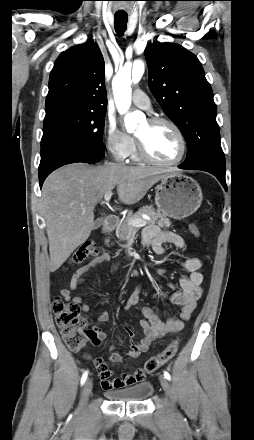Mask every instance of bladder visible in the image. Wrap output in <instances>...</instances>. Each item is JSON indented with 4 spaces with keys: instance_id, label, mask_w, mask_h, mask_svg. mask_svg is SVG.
Masks as SVG:
<instances>
[{
    "instance_id": "obj_1",
    "label": "bladder",
    "mask_w": 254,
    "mask_h": 440,
    "mask_svg": "<svg viewBox=\"0 0 254 440\" xmlns=\"http://www.w3.org/2000/svg\"><path fill=\"white\" fill-rule=\"evenodd\" d=\"M153 392L150 382H140L131 387L107 391L105 395L112 400L122 402H140L148 398Z\"/></svg>"
}]
</instances>
